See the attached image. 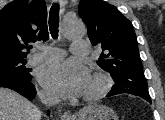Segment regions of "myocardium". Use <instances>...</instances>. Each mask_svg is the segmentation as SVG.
<instances>
[{
  "mask_svg": "<svg viewBox=\"0 0 165 120\" xmlns=\"http://www.w3.org/2000/svg\"><path fill=\"white\" fill-rule=\"evenodd\" d=\"M92 78L99 83V86L94 92L83 95L82 100L86 102H93L101 99L110 91L113 84L111 76L102 70L94 71L92 73Z\"/></svg>",
  "mask_w": 165,
  "mask_h": 120,
  "instance_id": "obj_1",
  "label": "myocardium"
}]
</instances>
